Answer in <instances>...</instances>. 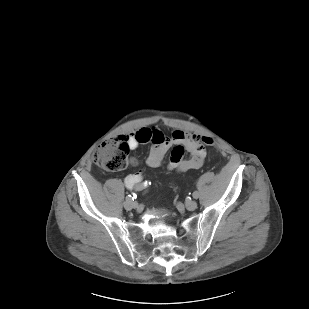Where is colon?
<instances>
[{
  "label": "colon",
  "instance_id": "colon-1",
  "mask_svg": "<svg viewBox=\"0 0 309 309\" xmlns=\"http://www.w3.org/2000/svg\"><path fill=\"white\" fill-rule=\"evenodd\" d=\"M207 146H214L210 137L202 138ZM130 146L126 138H116L102 143L94 153V163L109 172H118L126 168Z\"/></svg>",
  "mask_w": 309,
  "mask_h": 309
}]
</instances>
